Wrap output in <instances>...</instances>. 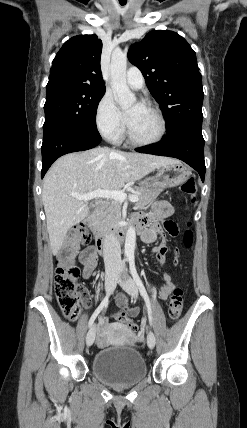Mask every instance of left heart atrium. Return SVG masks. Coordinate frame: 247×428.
Segmentation results:
<instances>
[{
  "mask_svg": "<svg viewBox=\"0 0 247 428\" xmlns=\"http://www.w3.org/2000/svg\"><path fill=\"white\" fill-rule=\"evenodd\" d=\"M139 105H140V104H139V103H137L136 108H137ZM132 115H133V112H131L130 114H126V122H127V123H128V122H129V120L131 119Z\"/></svg>",
  "mask_w": 247,
  "mask_h": 428,
  "instance_id": "1",
  "label": "left heart atrium"
}]
</instances>
